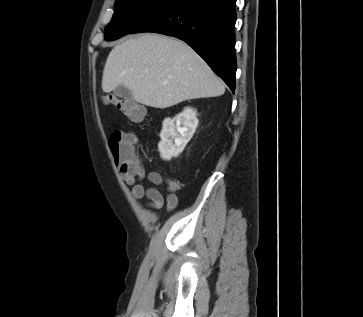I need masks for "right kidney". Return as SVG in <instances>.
<instances>
[{"label": "right kidney", "mask_w": 363, "mask_h": 317, "mask_svg": "<svg viewBox=\"0 0 363 317\" xmlns=\"http://www.w3.org/2000/svg\"><path fill=\"white\" fill-rule=\"evenodd\" d=\"M198 123L197 111L191 107H186L172 119L165 118L158 144L161 158L169 161L178 157L194 135Z\"/></svg>", "instance_id": "obj_1"}]
</instances>
